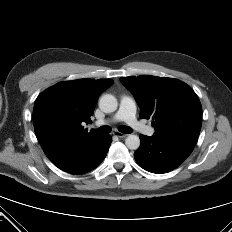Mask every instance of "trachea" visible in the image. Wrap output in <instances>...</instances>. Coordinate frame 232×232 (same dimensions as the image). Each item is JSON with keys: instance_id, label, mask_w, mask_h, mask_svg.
I'll use <instances>...</instances> for the list:
<instances>
[{"instance_id": "1", "label": "trachea", "mask_w": 232, "mask_h": 232, "mask_svg": "<svg viewBox=\"0 0 232 232\" xmlns=\"http://www.w3.org/2000/svg\"><path fill=\"white\" fill-rule=\"evenodd\" d=\"M118 129L121 133H125V134H129L132 132L131 128L128 126H120ZM110 131L111 128L109 126H101L98 129L93 130L95 134H101V135L108 134L110 133Z\"/></svg>"}]
</instances>
